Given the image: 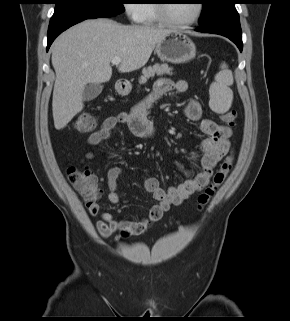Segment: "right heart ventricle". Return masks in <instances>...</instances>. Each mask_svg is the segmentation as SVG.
Masks as SVG:
<instances>
[{"instance_id":"obj_1","label":"right heart ventricle","mask_w":290,"mask_h":321,"mask_svg":"<svg viewBox=\"0 0 290 321\" xmlns=\"http://www.w3.org/2000/svg\"><path fill=\"white\" fill-rule=\"evenodd\" d=\"M144 3L139 5L140 18L139 22L144 25H154L160 22L156 10H155V0H142Z\"/></svg>"}]
</instances>
